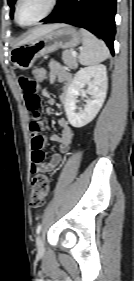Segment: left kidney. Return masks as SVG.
Masks as SVG:
<instances>
[{"label":"left kidney","instance_id":"1","mask_svg":"<svg viewBox=\"0 0 134 281\" xmlns=\"http://www.w3.org/2000/svg\"><path fill=\"white\" fill-rule=\"evenodd\" d=\"M87 85V89L83 87ZM107 92V72L105 65L98 64L81 68L69 85L64 101L68 121L73 127L81 128L90 123L100 111ZM80 93L91 95L85 100L84 108L77 107ZM78 110V111H77Z\"/></svg>","mask_w":134,"mask_h":281}]
</instances>
